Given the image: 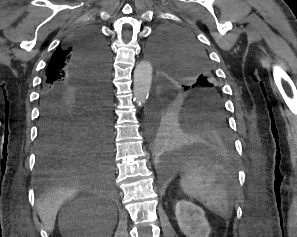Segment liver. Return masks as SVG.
Instances as JSON below:
<instances>
[{"label":"liver","instance_id":"obj_1","mask_svg":"<svg viewBox=\"0 0 297 237\" xmlns=\"http://www.w3.org/2000/svg\"><path fill=\"white\" fill-rule=\"evenodd\" d=\"M89 176L69 174L60 180L57 187L43 195L38 203L37 210L45 230H54L57 213L63 202L73 196L79 189L87 187Z\"/></svg>","mask_w":297,"mask_h":237}]
</instances>
